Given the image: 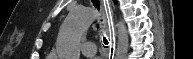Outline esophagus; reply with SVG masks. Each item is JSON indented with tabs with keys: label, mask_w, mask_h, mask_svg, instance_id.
<instances>
[{
	"label": "esophagus",
	"mask_w": 193,
	"mask_h": 59,
	"mask_svg": "<svg viewBox=\"0 0 193 59\" xmlns=\"http://www.w3.org/2000/svg\"><path fill=\"white\" fill-rule=\"evenodd\" d=\"M91 4L94 5H100L103 13V18L105 25L107 26V32L109 35V38L107 37V40L109 42V48H108V55L107 59H114L115 56V45H116V33L114 28V21H113V11L111 8V1L110 0H91ZM104 43V41H103Z\"/></svg>",
	"instance_id": "obj_1"
}]
</instances>
